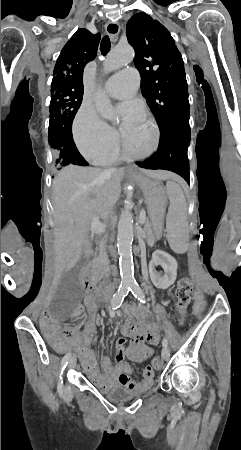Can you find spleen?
Listing matches in <instances>:
<instances>
[{"mask_svg":"<svg viewBox=\"0 0 241 450\" xmlns=\"http://www.w3.org/2000/svg\"><path fill=\"white\" fill-rule=\"evenodd\" d=\"M167 194L170 202L168 203L169 211H186L187 204L185 202L184 192L176 182H167ZM169 232L167 234L171 251L176 254H185L188 250L189 233L185 228L188 223L186 212H169Z\"/></svg>","mask_w":241,"mask_h":450,"instance_id":"1","label":"spleen"}]
</instances>
